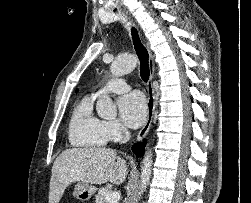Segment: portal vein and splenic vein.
I'll use <instances>...</instances> for the list:
<instances>
[{"label":"portal vein and splenic vein","instance_id":"1","mask_svg":"<svg viewBox=\"0 0 251 203\" xmlns=\"http://www.w3.org/2000/svg\"><path fill=\"white\" fill-rule=\"evenodd\" d=\"M119 199H120L119 192H111L106 196V201L109 203H118Z\"/></svg>","mask_w":251,"mask_h":203}]
</instances>
